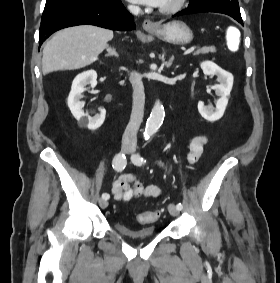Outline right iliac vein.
Here are the masks:
<instances>
[{
  "instance_id": "right-iliac-vein-1",
  "label": "right iliac vein",
  "mask_w": 280,
  "mask_h": 283,
  "mask_svg": "<svg viewBox=\"0 0 280 283\" xmlns=\"http://www.w3.org/2000/svg\"><path fill=\"white\" fill-rule=\"evenodd\" d=\"M132 151V147L128 144H124L122 146V152L124 153H130ZM99 205L102 209H105L108 206V201L106 199L101 198L99 200Z\"/></svg>"
}]
</instances>
